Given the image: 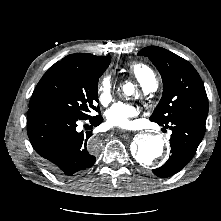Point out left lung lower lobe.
<instances>
[{
	"label": "left lung lower lobe",
	"mask_w": 221,
	"mask_h": 221,
	"mask_svg": "<svg viewBox=\"0 0 221 221\" xmlns=\"http://www.w3.org/2000/svg\"><path fill=\"white\" fill-rule=\"evenodd\" d=\"M162 126L172 130L171 155L163 166L153 169V173L166 178L179 172L192 159L204 137L205 125L187 118H177Z\"/></svg>",
	"instance_id": "left-lung-lower-lobe-1"
}]
</instances>
